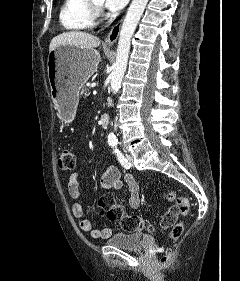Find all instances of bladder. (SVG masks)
<instances>
[{
  "instance_id": "1",
  "label": "bladder",
  "mask_w": 240,
  "mask_h": 281,
  "mask_svg": "<svg viewBox=\"0 0 240 281\" xmlns=\"http://www.w3.org/2000/svg\"><path fill=\"white\" fill-rule=\"evenodd\" d=\"M107 244L123 250L139 251L145 244V235L139 232L116 233L107 240Z\"/></svg>"
}]
</instances>
